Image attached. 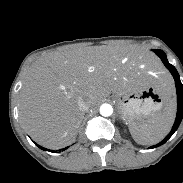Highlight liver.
<instances>
[{
	"mask_svg": "<svg viewBox=\"0 0 183 183\" xmlns=\"http://www.w3.org/2000/svg\"><path fill=\"white\" fill-rule=\"evenodd\" d=\"M151 67L166 98L172 94L167 72L149 54L131 47L90 46L41 57L29 68L20 90L22 124L37 143L60 149L75 141L84 111L80 98L95 106L111 92H127L133 83L131 66Z\"/></svg>",
	"mask_w": 183,
	"mask_h": 183,
	"instance_id": "obj_1",
	"label": "liver"
}]
</instances>
